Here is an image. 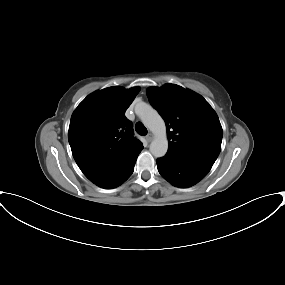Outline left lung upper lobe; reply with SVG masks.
Masks as SVG:
<instances>
[{
  "label": "left lung upper lobe",
  "mask_w": 285,
  "mask_h": 285,
  "mask_svg": "<svg viewBox=\"0 0 285 285\" xmlns=\"http://www.w3.org/2000/svg\"><path fill=\"white\" fill-rule=\"evenodd\" d=\"M147 96L165 120L167 153L212 167L220 153L223 131L209 103L201 95L175 84L150 87Z\"/></svg>",
  "instance_id": "5c2ea615"
}]
</instances>
